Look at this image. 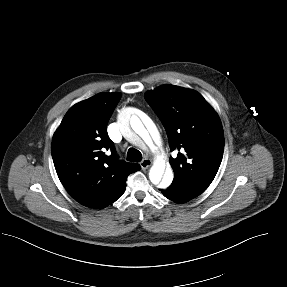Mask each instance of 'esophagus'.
I'll return each mask as SVG.
<instances>
[{
    "instance_id": "obj_1",
    "label": "esophagus",
    "mask_w": 287,
    "mask_h": 287,
    "mask_svg": "<svg viewBox=\"0 0 287 287\" xmlns=\"http://www.w3.org/2000/svg\"><path fill=\"white\" fill-rule=\"evenodd\" d=\"M142 169H147L152 165V161L149 158H145L140 162Z\"/></svg>"
}]
</instances>
